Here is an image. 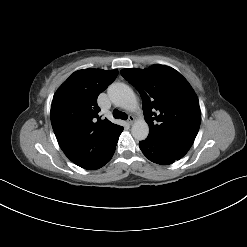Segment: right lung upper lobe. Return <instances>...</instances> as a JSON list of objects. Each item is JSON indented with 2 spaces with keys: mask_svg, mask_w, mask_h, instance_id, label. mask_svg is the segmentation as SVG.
<instances>
[{
  "mask_svg": "<svg viewBox=\"0 0 247 247\" xmlns=\"http://www.w3.org/2000/svg\"><path fill=\"white\" fill-rule=\"evenodd\" d=\"M118 75L117 70L74 72L57 90L51 105V124L65 155L75 164L84 161L95 142L119 125L101 120L97 98Z\"/></svg>",
  "mask_w": 247,
  "mask_h": 247,
  "instance_id": "1",
  "label": "right lung upper lobe"
}]
</instances>
